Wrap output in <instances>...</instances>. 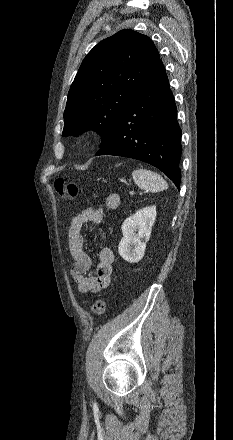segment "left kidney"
I'll return each instance as SVG.
<instances>
[{
  "mask_svg": "<svg viewBox=\"0 0 233 440\" xmlns=\"http://www.w3.org/2000/svg\"><path fill=\"white\" fill-rule=\"evenodd\" d=\"M156 219V206L146 207L125 219L118 252L129 263H138L145 254L146 243L150 239Z\"/></svg>",
  "mask_w": 233,
  "mask_h": 440,
  "instance_id": "1",
  "label": "left kidney"
}]
</instances>
